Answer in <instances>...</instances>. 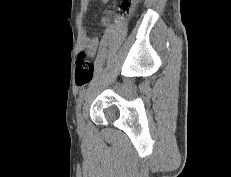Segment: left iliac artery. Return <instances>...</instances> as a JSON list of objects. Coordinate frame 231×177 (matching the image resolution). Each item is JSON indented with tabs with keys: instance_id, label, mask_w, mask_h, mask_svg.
<instances>
[{
	"instance_id": "left-iliac-artery-1",
	"label": "left iliac artery",
	"mask_w": 231,
	"mask_h": 177,
	"mask_svg": "<svg viewBox=\"0 0 231 177\" xmlns=\"http://www.w3.org/2000/svg\"><path fill=\"white\" fill-rule=\"evenodd\" d=\"M87 89H83L80 94H79V97H78V100H77V111L80 109L84 99H85V96L87 94Z\"/></svg>"
}]
</instances>
